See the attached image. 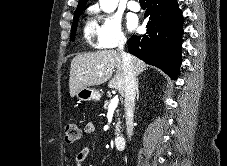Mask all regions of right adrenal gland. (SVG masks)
I'll return each mask as SVG.
<instances>
[{
  "instance_id": "1",
  "label": "right adrenal gland",
  "mask_w": 227,
  "mask_h": 166,
  "mask_svg": "<svg viewBox=\"0 0 227 166\" xmlns=\"http://www.w3.org/2000/svg\"><path fill=\"white\" fill-rule=\"evenodd\" d=\"M138 80H137V84H136V98H137V101L139 100V90H138Z\"/></svg>"
}]
</instances>
